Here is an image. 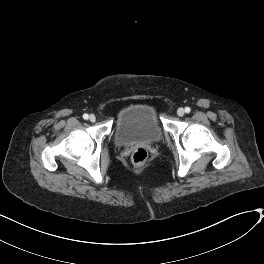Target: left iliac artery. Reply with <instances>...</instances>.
I'll return each instance as SVG.
<instances>
[{"instance_id":"44dca946","label":"left iliac artery","mask_w":264,"mask_h":264,"mask_svg":"<svg viewBox=\"0 0 264 264\" xmlns=\"http://www.w3.org/2000/svg\"><path fill=\"white\" fill-rule=\"evenodd\" d=\"M191 111V109L189 107H185V112L189 113Z\"/></svg>"}]
</instances>
